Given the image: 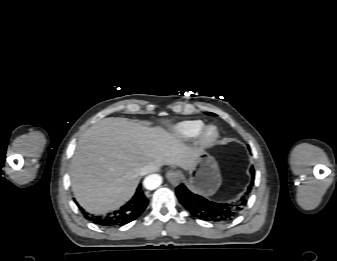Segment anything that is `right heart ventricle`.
<instances>
[{
  "instance_id": "right-heart-ventricle-1",
  "label": "right heart ventricle",
  "mask_w": 337,
  "mask_h": 261,
  "mask_svg": "<svg viewBox=\"0 0 337 261\" xmlns=\"http://www.w3.org/2000/svg\"><path fill=\"white\" fill-rule=\"evenodd\" d=\"M205 124L201 120H186L172 128L173 135L181 141H190L199 136Z\"/></svg>"
}]
</instances>
